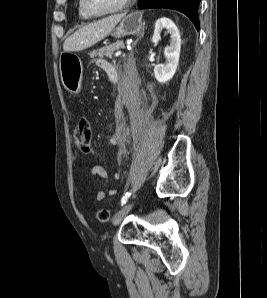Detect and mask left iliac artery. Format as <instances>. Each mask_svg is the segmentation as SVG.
<instances>
[{
	"label": "left iliac artery",
	"mask_w": 267,
	"mask_h": 298,
	"mask_svg": "<svg viewBox=\"0 0 267 298\" xmlns=\"http://www.w3.org/2000/svg\"><path fill=\"white\" fill-rule=\"evenodd\" d=\"M131 196V191H128L125 196H123L122 200H121V206L125 205L128 201V199Z\"/></svg>",
	"instance_id": "obj_1"
}]
</instances>
